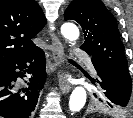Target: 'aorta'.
I'll return each instance as SVG.
<instances>
[{
    "instance_id": "obj_1",
    "label": "aorta",
    "mask_w": 133,
    "mask_h": 118,
    "mask_svg": "<svg viewBox=\"0 0 133 118\" xmlns=\"http://www.w3.org/2000/svg\"><path fill=\"white\" fill-rule=\"evenodd\" d=\"M61 33L67 40L75 41L79 38V29L73 23H65L61 27ZM86 90L83 87H76L70 96L69 109L71 112H79L86 103Z\"/></svg>"
}]
</instances>
